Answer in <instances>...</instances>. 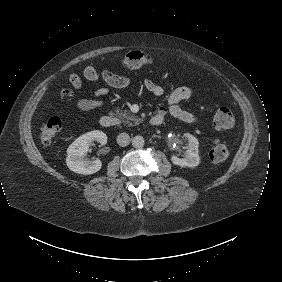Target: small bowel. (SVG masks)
Segmentation results:
<instances>
[{"label": "small bowel", "instance_id": "1", "mask_svg": "<svg viewBox=\"0 0 282 282\" xmlns=\"http://www.w3.org/2000/svg\"><path fill=\"white\" fill-rule=\"evenodd\" d=\"M83 76L89 81H102L107 85V87H102L95 91H92L88 94V97L78 100L76 106L81 111H90L104 107L105 101L102 99V97L109 92L108 87L122 89L128 87L130 84L128 78L118 75L110 70H98L92 65H87L83 69ZM68 79L71 86L75 90H82L83 82L81 77L77 73H70ZM142 84L149 92H151L155 96H162L164 94L163 85L156 81H153L149 78H144L142 80ZM192 94L193 91L190 87L178 86L169 95L167 106L159 108L155 116H160L164 120L166 115L169 114L173 118L184 123H200V118L196 114L187 111L180 106V103L188 100L192 96Z\"/></svg>", "mask_w": 282, "mask_h": 282}]
</instances>
